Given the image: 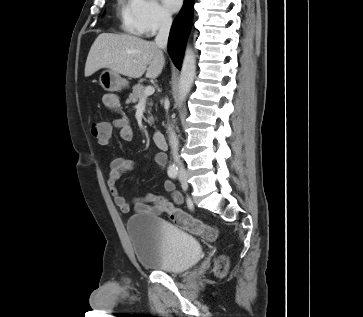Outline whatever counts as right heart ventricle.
<instances>
[{
	"instance_id": "1",
	"label": "right heart ventricle",
	"mask_w": 363,
	"mask_h": 317,
	"mask_svg": "<svg viewBox=\"0 0 363 317\" xmlns=\"http://www.w3.org/2000/svg\"><path fill=\"white\" fill-rule=\"evenodd\" d=\"M117 13L123 29L130 33H136L132 0H118Z\"/></svg>"
}]
</instances>
